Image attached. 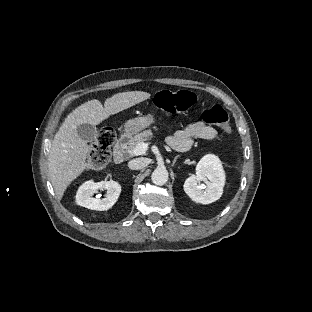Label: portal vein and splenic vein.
Returning <instances> with one entry per match:
<instances>
[{
    "label": "portal vein and splenic vein",
    "mask_w": 312,
    "mask_h": 312,
    "mask_svg": "<svg viewBox=\"0 0 312 312\" xmlns=\"http://www.w3.org/2000/svg\"><path fill=\"white\" fill-rule=\"evenodd\" d=\"M151 144L152 142L140 143L136 147H134L129 153L131 156L143 155Z\"/></svg>",
    "instance_id": "portal-vein-and-splenic-vein-1"
}]
</instances>
